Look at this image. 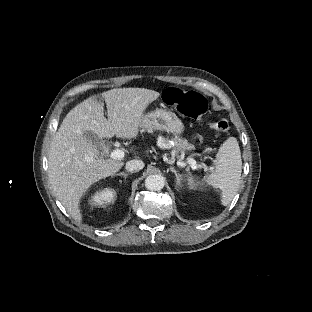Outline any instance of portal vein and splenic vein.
Returning a JSON list of instances; mask_svg holds the SVG:
<instances>
[{"instance_id":"portal-vein-and-splenic-vein-1","label":"portal vein and splenic vein","mask_w":312,"mask_h":312,"mask_svg":"<svg viewBox=\"0 0 312 312\" xmlns=\"http://www.w3.org/2000/svg\"><path fill=\"white\" fill-rule=\"evenodd\" d=\"M124 155H125V153L123 150L116 149V150H113L111 152L110 157L112 159L122 160L124 158ZM188 163L191 165L192 169L197 168L196 161L193 158H188Z\"/></svg>"}]
</instances>
